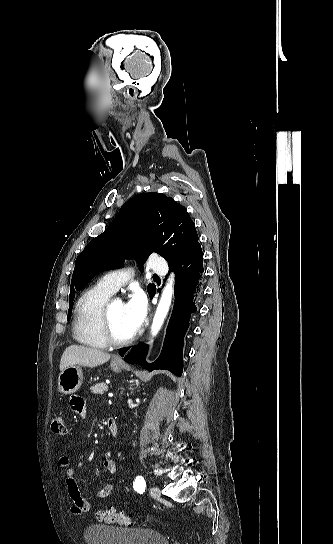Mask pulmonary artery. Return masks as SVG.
<instances>
[{
	"label": "pulmonary artery",
	"mask_w": 333,
	"mask_h": 544,
	"mask_svg": "<svg viewBox=\"0 0 333 544\" xmlns=\"http://www.w3.org/2000/svg\"><path fill=\"white\" fill-rule=\"evenodd\" d=\"M151 270L159 275H165L167 273V265L161 258H154L150 263ZM133 275L130 269H119L106 273L100 278V283L112 291L116 292L121 286L127 283Z\"/></svg>",
	"instance_id": "e3ab8cb5"
}]
</instances>
